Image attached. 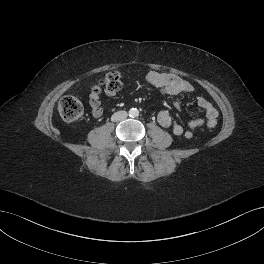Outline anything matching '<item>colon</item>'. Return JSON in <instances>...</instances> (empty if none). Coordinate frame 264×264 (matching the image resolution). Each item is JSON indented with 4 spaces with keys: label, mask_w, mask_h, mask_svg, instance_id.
Returning <instances> with one entry per match:
<instances>
[{
    "label": "colon",
    "mask_w": 264,
    "mask_h": 264,
    "mask_svg": "<svg viewBox=\"0 0 264 264\" xmlns=\"http://www.w3.org/2000/svg\"><path fill=\"white\" fill-rule=\"evenodd\" d=\"M104 86L107 92L116 93L122 88V79L120 73L112 71L107 74L104 80ZM99 86L94 87V93H98ZM58 111L62 119L66 122H75L82 118L84 109L82 103L75 97L65 96L59 101ZM217 125V120H208L207 126L214 128Z\"/></svg>",
    "instance_id": "5ec220e1"
}]
</instances>
